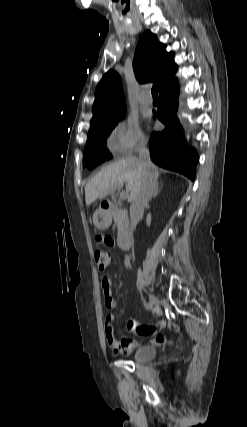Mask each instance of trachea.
Instances as JSON below:
<instances>
[{
    "label": "trachea",
    "mask_w": 247,
    "mask_h": 427,
    "mask_svg": "<svg viewBox=\"0 0 247 427\" xmlns=\"http://www.w3.org/2000/svg\"><path fill=\"white\" fill-rule=\"evenodd\" d=\"M151 92H152V96H153V98H158V92H157V89H156V88H153V89L151 90Z\"/></svg>",
    "instance_id": "trachea-1"
}]
</instances>
